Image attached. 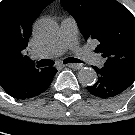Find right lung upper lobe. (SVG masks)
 Here are the masks:
<instances>
[{"mask_svg":"<svg viewBox=\"0 0 135 135\" xmlns=\"http://www.w3.org/2000/svg\"><path fill=\"white\" fill-rule=\"evenodd\" d=\"M54 0H3L0 2V85L24 71L38 70L24 55L32 24Z\"/></svg>","mask_w":135,"mask_h":135,"instance_id":"cb5924a9","label":"right lung upper lobe"}]
</instances>
